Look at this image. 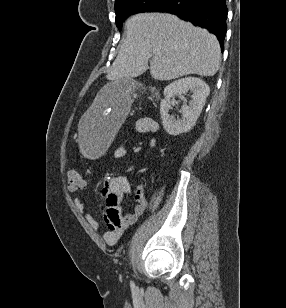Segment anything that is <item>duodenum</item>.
<instances>
[{"label":"duodenum","mask_w":286,"mask_h":308,"mask_svg":"<svg viewBox=\"0 0 286 308\" xmlns=\"http://www.w3.org/2000/svg\"><path fill=\"white\" fill-rule=\"evenodd\" d=\"M149 91L151 93L152 99H156V97H157V90L154 87H150Z\"/></svg>","instance_id":"410a0bca"}]
</instances>
